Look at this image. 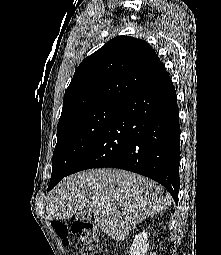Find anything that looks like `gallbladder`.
I'll return each mask as SVG.
<instances>
[{
	"label": "gallbladder",
	"instance_id": "bac80fb5",
	"mask_svg": "<svg viewBox=\"0 0 221 255\" xmlns=\"http://www.w3.org/2000/svg\"><path fill=\"white\" fill-rule=\"evenodd\" d=\"M91 217H92V214H91L89 211H87V210H85V211H80V212L78 213V218H79L80 220H89Z\"/></svg>",
	"mask_w": 221,
	"mask_h": 255
}]
</instances>
